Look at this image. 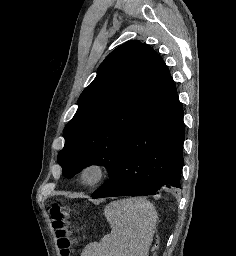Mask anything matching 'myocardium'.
Returning a JSON list of instances; mask_svg holds the SVG:
<instances>
[{"mask_svg": "<svg viewBox=\"0 0 236 256\" xmlns=\"http://www.w3.org/2000/svg\"><path fill=\"white\" fill-rule=\"evenodd\" d=\"M92 170L94 175L91 179H86L87 171ZM111 173V168L107 162L101 159H92L85 162L79 170V178L86 186H97L107 180Z\"/></svg>", "mask_w": 236, "mask_h": 256, "instance_id": "myocardium-1", "label": "myocardium"}]
</instances>
